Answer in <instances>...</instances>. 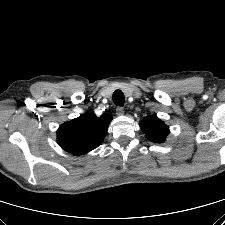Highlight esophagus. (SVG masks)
Segmentation results:
<instances>
[{
  "mask_svg": "<svg viewBox=\"0 0 225 225\" xmlns=\"http://www.w3.org/2000/svg\"><path fill=\"white\" fill-rule=\"evenodd\" d=\"M116 114H117L118 116L124 115V109H123L122 107H117V108H116Z\"/></svg>",
  "mask_w": 225,
  "mask_h": 225,
  "instance_id": "obj_1",
  "label": "esophagus"
}]
</instances>
